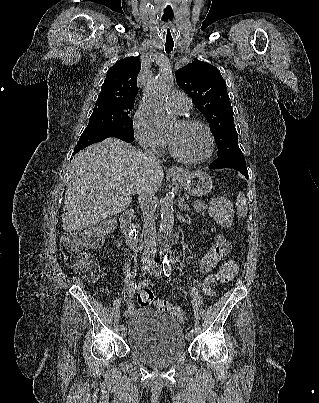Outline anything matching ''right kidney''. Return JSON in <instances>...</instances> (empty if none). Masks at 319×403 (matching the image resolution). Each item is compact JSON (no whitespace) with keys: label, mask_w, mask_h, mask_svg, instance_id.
<instances>
[{"label":"right kidney","mask_w":319,"mask_h":403,"mask_svg":"<svg viewBox=\"0 0 319 403\" xmlns=\"http://www.w3.org/2000/svg\"><path fill=\"white\" fill-rule=\"evenodd\" d=\"M117 247H120L122 245V241H116Z\"/></svg>","instance_id":"obj_1"}]
</instances>
